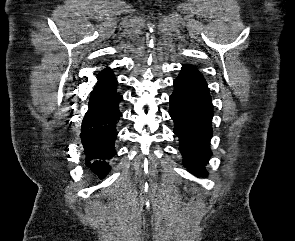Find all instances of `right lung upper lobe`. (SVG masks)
Here are the masks:
<instances>
[{
    "instance_id": "1",
    "label": "right lung upper lobe",
    "mask_w": 295,
    "mask_h": 241,
    "mask_svg": "<svg viewBox=\"0 0 295 241\" xmlns=\"http://www.w3.org/2000/svg\"><path fill=\"white\" fill-rule=\"evenodd\" d=\"M97 79H98V82L96 86H102L116 80L115 75L110 68H106L102 70L97 75Z\"/></svg>"
}]
</instances>
